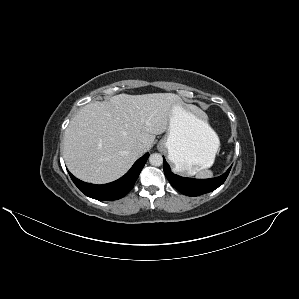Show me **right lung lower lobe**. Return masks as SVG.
<instances>
[{
    "label": "right lung lower lobe",
    "instance_id": "right-lung-lower-lobe-1",
    "mask_svg": "<svg viewBox=\"0 0 299 299\" xmlns=\"http://www.w3.org/2000/svg\"><path fill=\"white\" fill-rule=\"evenodd\" d=\"M148 157L149 153H146L134 163L132 168L123 177L108 184L95 185L86 183L77 179L71 173L69 174L74 184L86 196L101 201L117 200L124 197L133 188Z\"/></svg>",
    "mask_w": 299,
    "mask_h": 299
}]
</instances>
